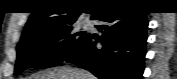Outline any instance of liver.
Here are the masks:
<instances>
[{"instance_id":"6515ba94","label":"liver","mask_w":177,"mask_h":79,"mask_svg":"<svg viewBox=\"0 0 177 79\" xmlns=\"http://www.w3.org/2000/svg\"><path fill=\"white\" fill-rule=\"evenodd\" d=\"M27 79H96V77L86 70L64 66L40 71Z\"/></svg>"}]
</instances>
